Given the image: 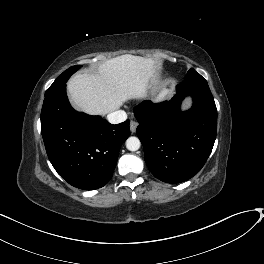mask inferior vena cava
Masks as SVG:
<instances>
[{
  "mask_svg": "<svg viewBox=\"0 0 264 264\" xmlns=\"http://www.w3.org/2000/svg\"><path fill=\"white\" fill-rule=\"evenodd\" d=\"M127 119V114L123 110H117L107 115V120L111 124H118Z\"/></svg>",
  "mask_w": 264,
  "mask_h": 264,
  "instance_id": "1",
  "label": "inferior vena cava"
}]
</instances>
